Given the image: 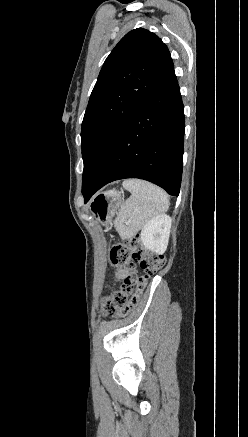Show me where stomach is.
Instances as JSON below:
<instances>
[{
  "instance_id": "stomach-1",
  "label": "stomach",
  "mask_w": 248,
  "mask_h": 437,
  "mask_svg": "<svg viewBox=\"0 0 248 437\" xmlns=\"http://www.w3.org/2000/svg\"><path fill=\"white\" fill-rule=\"evenodd\" d=\"M121 205V192L111 190L98 195L91 203L90 208L92 214L97 217L99 221L109 223Z\"/></svg>"
}]
</instances>
